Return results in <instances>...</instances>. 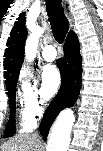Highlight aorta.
I'll use <instances>...</instances> for the list:
<instances>
[{"label":"aorta","instance_id":"aorta-1","mask_svg":"<svg viewBox=\"0 0 103 151\" xmlns=\"http://www.w3.org/2000/svg\"><path fill=\"white\" fill-rule=\"evenodd\" d=\"M44 32V28L34 26L32 33L27 38L25 45V58L29 62L34 60L38 48V39ZM75 121V116L71 109L62 111L49 136L47 151H68L70 144V134Z\"/></svg>","mask_w":103,"mask_h":151}]
</instances>
